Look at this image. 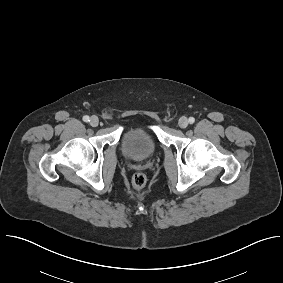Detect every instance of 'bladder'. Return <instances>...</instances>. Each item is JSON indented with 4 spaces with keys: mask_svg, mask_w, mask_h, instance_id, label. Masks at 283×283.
Returning a JSON list of instances; mask_svg holds the SVG:
<instances>
[{
    "mask_svg": "<svg viewBox=\"0 0 283 283\" xmlns=\"http://www.w3.org/2000/svg\"><path fill=\"white\" fill-rule=\"evenodd\" d=\"M157 150L156 139L143 129L127 130L122 138L121 151L132 160H144Z\"/></svg>",
    "mask_w": 283,
    "mask_h": 283,
    "instance_id": "bladder-1",
    "label": "bladder"
}]
</instances>
